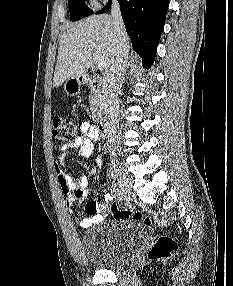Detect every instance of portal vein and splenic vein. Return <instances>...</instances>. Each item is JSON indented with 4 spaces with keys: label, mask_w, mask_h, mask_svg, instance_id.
Listing matches in <instances>:
<instances>
[{
    "label": "portal vein and splenic vein",
    "mask_w": 233,
    "mask_h": 286,
    "mask_svg": "<svg viewBox=\"0 0 233 286\" xmlns=\"http://www.w3.org/2000/svg\"><path fill=\"white\" fill-rule=\"evenodd\" d=\"M93 58L95 60V66L98 70H103L105 68V63L104 59L102 58L101 54L99 51H94L93 52Z\"/></svg>",
    "instance_id": "portal-vein-and-splenic-vein-1"
}]
</instances>
